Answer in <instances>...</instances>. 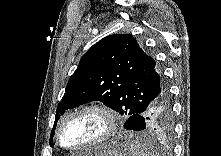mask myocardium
Returning a JSON list of instances; mask_svg holds the SVG:
<instances>
[{
	"mask_svg": "<svg viewBox=\"0 0 221 156\" xmlns=\"http://www.w3.org/2000/svg\"><path fill=\"white\" fill-rule=\"evenodd\" d=\"M87 112H92L100 115L103 120H104V129L102 133L93 141L90 143L83 145V146H78V147H66L63 145L62 140H61V133L64 125L73 117L82 114V113H87ZM118 125V119L117 115L114 112L112 108L109 106L102 104V103H91V104H86L81 107L76 108L72 112H70L68 115H66L62 121L60 122L57 133H56V139L59 144V146L67 151L71 152H78L82 150H86L92 147H95L97 145H100L107 141L114 133Z\"/></svg>",
	"mask_w": 221,
	"mask_h": 156,
	"instance_id": "1",
	"label": "myocardium"
}]
</instances>
